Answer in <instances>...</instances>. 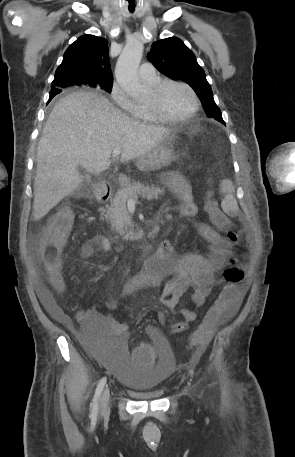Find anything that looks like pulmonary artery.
<instances>
[{"label":"pulmonary artery","mask_w":295,"mask_h":457,"mask_svg":"<svg viewBox=\"0 0 295 457\" xmlns=\"http://www.w3.org/2000/svg\"><path fill=\"white\" fill-rule=\"evenodd\" d=\"M139 76L143 81L153 82L158 79L155 67L151 63H143L139 68Z\"/></svg>","instance_id":"pulmonary-artery-1"}]
</instances>
